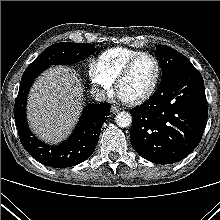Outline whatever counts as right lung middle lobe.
<instances>
[{"instance_id": "1", "label": "right lung middle lobe", "mask_w": 220, "mask_h": 220, "mask_svg": "<svg viewBox=\"0 0 220 220\" xmlns=\"http://www.w3.org/2000/svg\"><path fill=\"white\" fill-rule=\"evenodd\" d=\"M94 51V44L56 43L46 48L27 68L46 69L50 65L73 64L84 60Z\"/></svg>"}]
</instances>
